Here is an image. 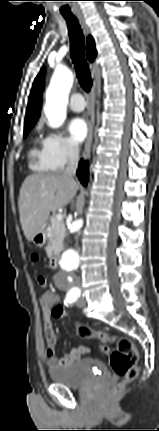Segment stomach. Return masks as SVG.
I'll return each mask as SVG.
<instances>
[{
	"label": "stomach",
	"instance_id": "obj_1",
	"mask_svg": "<svg viewBox=\"0 0 159 431\" xmlns=\"http://www.w3.org/2000/svg\"><path fill=\"white\" fill-rule=\"evenodd\" d=\"M32 241L36 246L42 247L46 241V235H45L44 231L41 230L39 233L34 235L32 238Z\"/></svg>",
	"mask_w": 159,
	"mask_h": 431
}]
</instances>
